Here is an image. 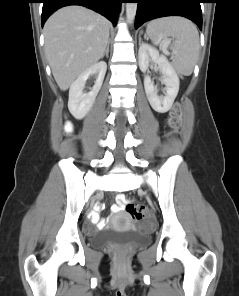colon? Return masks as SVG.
<instances>
[{"label":"colon","mask_w":239,"mask_h":296,"mask_svg":"<svg viewBox=\"0 0 239 296\" xmlns=\"http://www.w3.org/2000/svg\"><path fill=\"white\" fill-rule=\"evenodd\" d=\"M167 125L171 132H177L181 126V109L179 104H175L167 119ZM67 127H70L67 124ZM127 213L135 220H141L149 216L147 208L139 203L128 202L125 207Z\"/></svg>","instance_id":"colon-1"}]
</instances>
